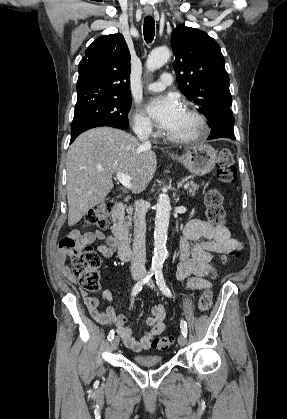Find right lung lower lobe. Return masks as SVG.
Wrapping results in <instances>:
<instances>
[{"instance_id": "right-lung-lower-lobe-1", "label": "right lung lower lobe", "mask_w": 287, "mask_h": 419, "mask_svg": "<svg viewBox=\"0 0 287 419\" xmlns=\"http://www.w3.org/2000/svg\"><path fill=\"white\" fill-rule=\"evenodd\" d=\"M76 137H77V136H76ZM76 137L71 138L70 143H72V142L75 140V138H76Z\"/></svg>"}]
</instances>
